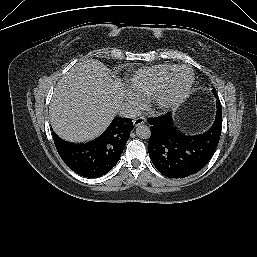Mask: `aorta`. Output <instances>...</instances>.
<instances>
[{
    "mask_svg": "<svg viewBox=\"0 0 257 257\" xmlns=\"http://www.w3.org/2000/svg\"><path fill=\"white\" fill-rule=\"evenodd\" d=\"M136 135L141 139H148L151 135L150 128L147 125L140 124L136 128Z\"/></svg>",
    "mask_w": 257,
    "mask_h": 257,
    "instance_id": "aorta-1",
    "label": "aorta"
}]
</instances>
